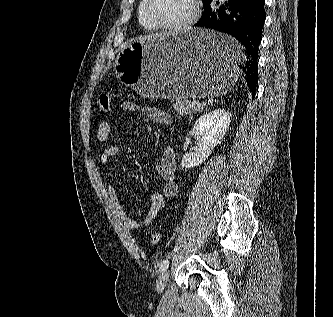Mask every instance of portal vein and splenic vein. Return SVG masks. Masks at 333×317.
I'll use <instances>...</instances> for the list:
<instances>
[{
	"label": "portal vein and splenic vein",
	"mask_w": 333,
	"mask_h": 317,
	"mask_svg": "<svg viewBox=\"0 0 333 317\" xmlns=\"http://www.w3.org/2000/svg\"><path fill=\"white\" fill-rule=\"evenodd\" d=\"M192 104L195 105V104H198V102H196V101H192Z\"/></svg>",
	"instance_id": "1"
}]
</instances>
